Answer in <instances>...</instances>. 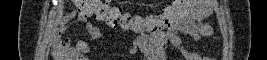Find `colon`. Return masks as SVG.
Masks as SVG:
<instances>
[{"mask_svg": "<svg viewBox=\"0 0 267 60\" xmlns=\"http://www.w3.org/2000/svg\"><path fill=\"white\" fill-rule=\"evenodd\" d=\"M76 2L79 5L80 14L94 17L110 27L118 28L122 31L156 34L176 27L187 14L190 0H175L159 14L147 17L128 14L107 1L76 0Z\"/></svg>", "mask_w": 267, "mask_h": 60, "instance_id": "1", "label": "colon"}]
</instances>
